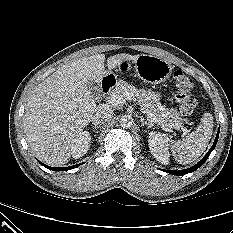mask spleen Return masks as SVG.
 Returning <instances> with one entry per match:
<instances>
[{
	"instance_id": "obj_1",
	"label": "spleen",
	"mask_w": 233,
	"mask_h": 233,
	"mask_svg": "<svg viewBox=\"0 0 233 233\" xmlns=\"http://www.w3.org/2000/svg\"><path fill=\"white\" fill-rule=\"evenodd\" d=\"M213 117L205 113L196 131L191 132L185 138L171 143L172 154L180 164H190L197 160L211 139L213 133ZM170 145V143H169Z\"/></svg>"
}]
</instances>
